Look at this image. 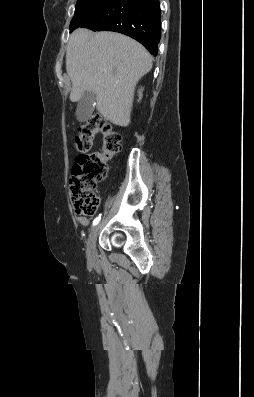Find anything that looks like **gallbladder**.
I'll list each match as a JSON object with an SVG mask.
<instances>
[{
	"instance_id": "1",
	"label": "gallbladder",
	"mask_w": 254,
	"mask_h": 397,
	"mask_svg": "<svg viewBox=\"0 0 254 397\" xmlns=\"http://www.w3.org/2000/svg\"><path fill=\"white\" fill-rule=\"evenodd\" d=\"M95 96L91 92H85L78 101L76 118L79 122L86 121L94 111Z\"/></svg>"
}]
</instances>
